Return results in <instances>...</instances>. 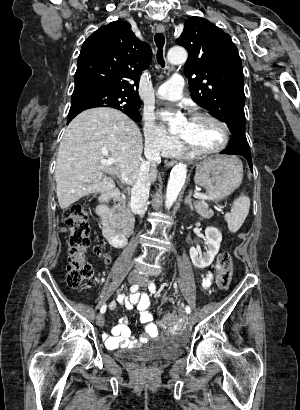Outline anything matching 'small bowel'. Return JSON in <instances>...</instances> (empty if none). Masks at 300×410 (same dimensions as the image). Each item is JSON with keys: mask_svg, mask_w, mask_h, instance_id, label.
<instances>
[{"mask_svg": "<svg viewBox=\"0 0 300 410\" xmlns=\"http://www.w3.org/2000/svg\"><path fill=\"white\" fill-rule=\"evenodd\" d=\"M212 279L213 274L208 272L202 280V286L208 289L211 286ZM118 302L128 310L137 309L140 322L145 325V330L139 338H135L132 336L127 319L120 318L117 324L112 327L111 334L104 335V341L108 348L131 347L158 336V326L153 322V316L149 312V296L146 293H134L130 296L120 295ZM110 308H115L114 302L110 304Z\"/></svg>", "mask_w": 300, "mask_h": 410, "instance_id": "c3829d8e", "label": "small bowel"}]
</instances>
